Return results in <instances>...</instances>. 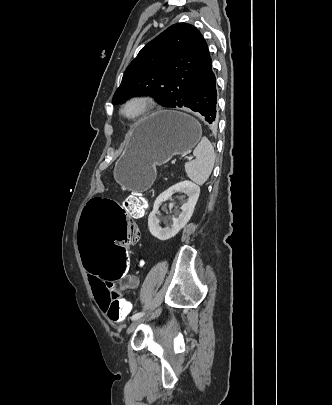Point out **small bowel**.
I'll use <instances>...</instances> for the list:
<instances>
[{
  "mask_svg": "<svg viewBox=\"0 0 332 405\" xmlns=\"http://www.w3.org/2000/svg\"><path fill=\"white\" fill-rule=\"evenodd\" d=\"M132 217H136V213H131ZM136 227L137 224H136ZM138 236V240H139ZM89 281L92 287L94 298L102 311L105 312V306L108 301V294L103 289L101 282H103V277L97 275H89ZM139 285V278L133 274L124 275L121 280L118 282L117 291H125L128 289H135ZM128 307H131L128 303Z\"/></svg>",
  "mask_w": 332,
  "mask_h": 405,
  "instance_id": "obj_1",
  "label": "small bowel"
}]
</instances>
